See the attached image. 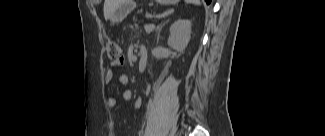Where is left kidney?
<instances>
[{"instance_id":"5707ae66","label":"left kidney","mask_w":325,"mask_h":136,"mask_svg":"<svg viewBox=\"0 0 325 136\" xmlns=\"http://www.w3.org/2000/svg\"><path fill=\"white\" fill-rule=\"evenodd\" d=\"M191 25L189 20L180 19L174 22L170 27L168 45L177 51H183L191 38Z\"/></svg>"}]
</instances>
